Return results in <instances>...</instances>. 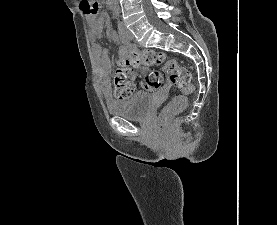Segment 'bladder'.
Wrapping results in <instances>:
<instances>
[{
	"instance_id": "obj_1",
	"label": "bladder",
	"mask_w": 277,
	"mask_h": 225,
	"mask_svg": "<svg viewBox=\"0 0 277 225\" xmlns=\"http://www.w3.org/2000/svg\"><path fill=\"white\" fill-rule=\"evenodd\" d=\"M107 107L111 115L127 120H143L153 108V96L149 92L137 91L129 99L109 103Z\"/></svg>"
}]
</instances>
